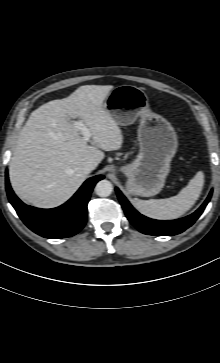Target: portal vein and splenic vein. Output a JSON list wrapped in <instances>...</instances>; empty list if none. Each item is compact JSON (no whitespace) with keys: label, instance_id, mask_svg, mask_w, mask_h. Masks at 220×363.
Segmentation results:
<instances>
[{"label":"portal vein and splenic vein","instance_id":"1","mask_svg":"<svg viewBox=\"0 0 220 363\" xmlns=\"http://www.w3.org/2000/svg\"><path fill=\"white\" fill-rule=\"evenodd\" d=\"M74 125L78 130H80L81 134L83 135V139L85 141H89L92 134L90 129L83 123V121L81 120L75 121Z\"/></svg>","mask_w":220,"mask_h":363}]
</instances>
